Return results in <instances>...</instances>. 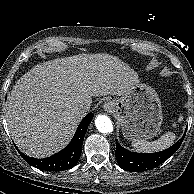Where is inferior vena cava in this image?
Returning <instances> with one entry per match:
<instances>
[{
    "label": "inferior vena cava",
    "instance_id": "obj_1",
    "mask_svg": "<svg viewBox=\"0 0 194 194\" xmlns=\"http://www.w3.org/2000/svg\"><path fill=\"white\" fill-rule=\"evenodd\" d=\"M88 109H89V104H88V103H83V104L80 105V110H81L82 112H85V111H87Z\"/></svg>",
    "mask_w": 194,
    "mask_h": 194
}]
</instances>
